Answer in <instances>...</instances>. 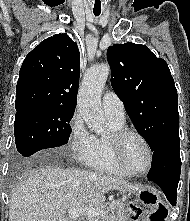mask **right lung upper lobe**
<instances>
[{"instance_id":"1","label":"right lung upper lobe","mask_w":190,"mask_h":221,"mask_svg":"<svg viewBox=\"0 0 190 221\" xmlns=\"http://www.w3.org/2000/svg\"><path fill=\"white\" fill-rule=\"evenodd\" d=\"M79 74L77 44L66 33L45 39L23 61L16 89V111L37 106L74 109Z\"/></svg>"}]
</instances>
